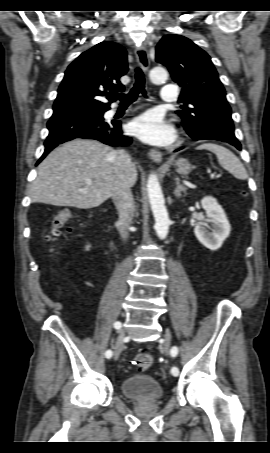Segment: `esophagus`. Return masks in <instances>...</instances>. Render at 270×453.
<instances>
[{"instance_id": "obj_1", "label": "esophagus", "mask_w": 270, "mask_h": 453, "mask_svg": "<svg viewBox=\"0 0 270 453\" xmlns=\"http://www.w3.org/2000/svg\"><path fill=\"white\" fill-rule=\"evenodd\" d=\"M136 59L138 65L144 70L147 71L150 66V61L148 57L147 50L144 46H139L135 49ZM150 158L155 163H161L162 161V153L157 149H150L149 151Z\"/></svg>"}]
</instances>
